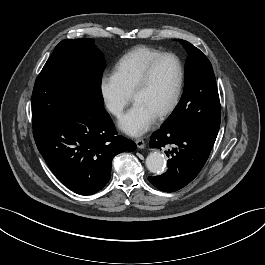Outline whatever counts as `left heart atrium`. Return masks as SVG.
<instances>
[{"instance_id":"1","label":"left heart atrium","mask_w":265,"mask_h":265,"mask_svg":"<svg viewBox=\"0 0 265 265\" xmlns=\"http://www.w3.org/2000/svg\"><path fill=\"white\" fill-rule=\"evenodd\" d=\"M155 116L140 104H134L119 120V127L130 136L145 133L155 121Z\"/></svg>"}]
</instances>
